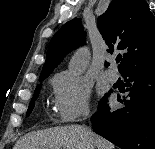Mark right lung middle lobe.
<instances>
[{"mask_svg": "<svg viewBox=\"0 0 155 149\" xmlns=\"http://www.w3.org/2000/svg\"><path fill=\"white\" fill-rule=\"evenodd\" d=\"M45 78H47V77H42V78L39 79V81H43ZM40 89H41V84L38 85V86L36 87V89H35L34 97H33V99H32L31 102H30V105H29V108H28V111H27V115H29V114L31 113V111H32V109H33V107H34V104H35V100H36V98H37V96H38V94H39ZM108 95H109V94H106V96H108Z\"/></svg>", "mask_w": 155, "mask_h": 149, "instance_id": "dd1d6c3e", "label": "right lung middle lobe"}]
</instances>
